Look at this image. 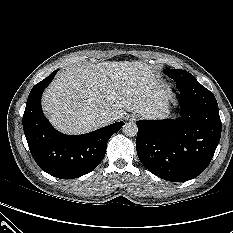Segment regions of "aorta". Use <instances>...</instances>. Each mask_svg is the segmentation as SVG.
I'll return each instance as SVG.
<instances>
[{"mask_svg": "<svg viewBox=\"0 0 233 233\" xmlns=\"http://www.w3.org/2000/svg\"><path fill=\"white\" fill-rule=\"evenodd\" d=\"M122 131L125 136L134 137L138 132V127L134 122H128L123 125Z\"/></svg>", "mask_w": 233, "mask_h": 233, "instance_id": "obj_1", "label": "aorta"}]
</instances>
